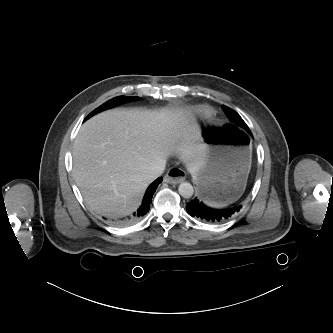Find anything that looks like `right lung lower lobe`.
Listing matches in <instances>:
<instances>
[{"label": "right lung lower lobe", "instance_id": "1", "mask_svg": "<svg viewBox=\"0 0 333 333\" xmlns=\"http://www.w3.org/2000/svg\"><path fill=\"white\" fill-rule=\"evenodd\" d=\"M161 182H162V177H159L153 183H151V185L146 190V193L144 195L141 206L139 207L137 212L133 214V216L131 217V220H135V219H137L139 217H142L145 214H147V212L150 209V204L152 202V196L155 193V190L157 189L158 185ZM127 222H129V220H125L122 223H127Z\"/></svg>", "mask_w": 333, "mask_h": 333}]
</instances>
